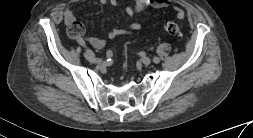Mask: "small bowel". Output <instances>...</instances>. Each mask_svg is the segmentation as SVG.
I'll use <instances>...</instances> for the list:
<instances>
[{
	"mask_svg": "<svg viewBox=\"0 0 253 138\" xmlns=\"http://www.w3.org/2000/svg\"><path fill=\"white\" fill-rule=\"evenodd\" d=\"M101 4H111L113 6H118L120 4L119 0H99ZM171 4L170 0H133L131 6L125 8L126 15L133 19L137 14L145 12L148 8L161 9L167 8ZM173 11L178 19H184L185 12L182 8L175 5L173 6ZM76 20L75 13L73 10H66L64 13V22L70 25ZM141 30V24L138 22H131L128 24L126 29L113 28L110 30L105 38H100L97 36H90L88 38L89 44L95 49L103 48L108 41L114 40L120 35H130ZM78 42L81 45H85L82 38H78Z\"/></svg>",
	"mask_w": 253,
	"mask_h": 138,
	"instance_id": "1",
	"label": "small bowel"
}]
</instances>
